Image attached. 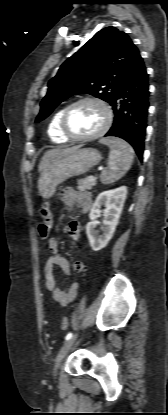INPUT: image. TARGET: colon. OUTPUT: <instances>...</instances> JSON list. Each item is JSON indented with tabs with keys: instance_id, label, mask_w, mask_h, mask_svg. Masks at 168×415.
<instances>
[{
	"instance_id": "5ec220e1",
	"label": "colon",
	"mask_w": 168,
	"mask_h": 415,
	"mask_svg": "<svg viewBox=\"0 0 168 415\" xmlns=\"http://www.w3.org/2000/svg\"><path fill=\"white\" fill-rule=\"evenodd\" d=\"M41 214L43 216V221L39 225V232L40 235L45 238L48 236L49 231L52 225V216L49 212V209L46 204H44L41 208ZM60 327L63 331H66L69 327V322L66 317H63L60 323Z\"/></svg>"
}]
</instances>
